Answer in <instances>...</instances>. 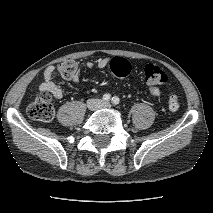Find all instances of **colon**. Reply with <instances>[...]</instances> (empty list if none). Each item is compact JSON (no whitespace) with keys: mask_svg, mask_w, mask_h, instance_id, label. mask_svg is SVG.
Masks as SVG:
<instances>
[{"mask_svg":"<svg viewBox=\"0 0 213 213\" xmlns=\"http://www.w3.org/2000/svg\"><path fill=\"white\" fill-rule=\"evenodd\" d=\"M112 73L120 78L127 77L131 72L130 63L123 58H114L110 62ZM59 72L65 79H72L78 73L77 63L67 60L60 64ZM144 78L148 85L156 87L167 83V74L157 65L149 63L145 65ZM52 95L48 91H42L38 97L29 105L28 115L37 121L50 122L54 118V107L52 105ZM168 107L171 111H177L180 107L179 97L175 94L169 96Z\"/></svg>","mask_w":213,"mask_h":213,"instance_id":"5ec220e1","label":"colon"}]
</instances>
